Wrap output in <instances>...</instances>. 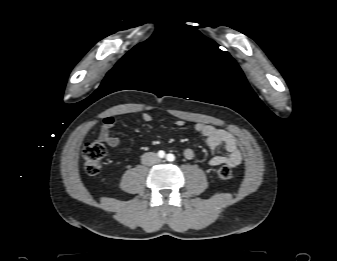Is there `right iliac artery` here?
Wrapping results in <instances>:
<instances>
[{
	"instance_id": "right-iliac-artery-1",
	"label": "right iliac artery",
	"mask_w": 337,
	"mask_h": 261,
	"mask_svg": "<svg viewBox=\"0 0 337 261\" xmlns=\"http://www.w3.org/2000/svg\"><path fill=\"white\" fill-rule=\"evenodd\" d=\"M158 156L160 157V158H163L164 156H165V152L164 151H159L158 152Z\"/></svg>"
}]
</instances>
